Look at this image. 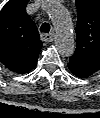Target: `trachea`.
<instances>
[{
    "label": "trachea",
    "instance_id": "obj_1",
    "mask_svg": "<svg viewBox=\"0 0 100 118\" xmlns=\"http://www.w3.org/2000/svg\"><path fill=\"white\" fill-rule=\"evenodd\" d=\"M40 31L42 33H49L50 31V25L48 23H43L40 27Z\"/></svg>",
    "mask_w": 100,
    "mask_h": 118
}]
</instances>
